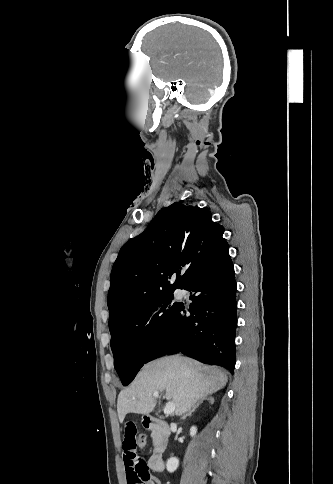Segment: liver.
<instances>
[{
    "label": "liver",
    "instance_id": "1",
    "mask_svg": "<svg viewBox=\"0 0 333 484\" xmlns=\"http://www.w3.org/2000/svg\"><path fill=\"white\" fill-rule=\"evenodd\" d=\"M226 383L227 375L216 367L181 356L160 358L144 365L132 384L119 393V421L123 423L128 413L149 414L156 405L154 393L163 391L168 403H174L176 415H182Z\"/></svg>",
    "mask_w": 333,
    "mask_h": 484
}]
</instances>
